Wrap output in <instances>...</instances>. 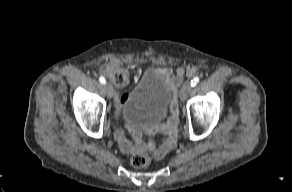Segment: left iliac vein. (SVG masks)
Returning a JSON list of instances; mask_svg holds the SVG:
<instances>
[{"label": "left iliac vein", "mask_w": 292, "mask_h": 192, "mask_svg": "<svg viewBox=\"0 0 292 192\" xmlns=\"http://www.w3.org/2000/svg\"><path fill=\"white\" fill-rule=\"evenodd\" d=\"M191 91V84L190 82H185L180 90V99L182 102L186 101L189 93Z\"/></svg>", "instance_id": "1"}]
</instances>
